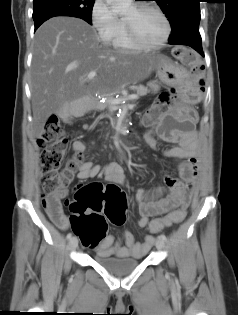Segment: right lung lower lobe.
Segmentation results:
<instances>
[{
	"label": "right lung lower lobe",
	"mask_w": 238,
	"mask_h": 315,
	"mask_svg": "<svg viewBox=\"0 0 238 315\" xmlns=\"http://www.w3.org/2000/svg\"><path fill=\"white\" fill-rule=\"evenodd\" d=\"M54 16H67V15H61V14H50V15H45V16H42V17H39L37 19L34 20L35 22V30L46 20H48L49 18L51 17H54Z\"/></svg>",
	"instance_id": "right-lung-lower-lobe-1"
}]
</instances>
